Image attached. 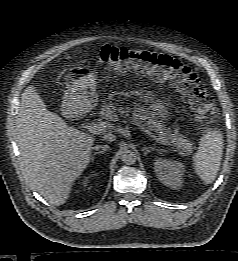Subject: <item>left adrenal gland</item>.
Listing matches in <instances>:
<instances>
[{"label":"left adrenal gland","mask_w":238,"mask_h":261,"mask_svg":"<svg viewBox=\"0 0 238 261\" xmlns=\"http://www.w3.org/2000/svg\"><path fill=\"white\" fill-rule=\"evenodd\" d=\"M144 151V155L146 156L148 153L152 152V151H158V149L156 147L150 146V147H144L142 149Z\"/></svg>","instance_id":"obj_1"}]
</instances>
